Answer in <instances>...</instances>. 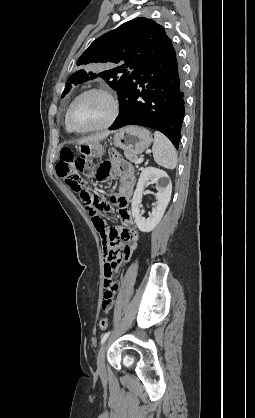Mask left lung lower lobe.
Wrapping results in <instances>:
<instances>
[{"label": "left lung lower lobe", "instance_id": "1", "mask_svg": "<svg viewBox=\"0 0 255 418\" xmlns=\"http://www.w3.org/2000/svg\"><path fill=\"white\" fill-rule=\"evenodd\" d=\"M118 95L120 113L110 130L126 125L150 127L179 146L185 111L183 77L171 40L131 72Z\"/></svg>", "mask_w": 255, "mask_h": 418}]
</instances>
